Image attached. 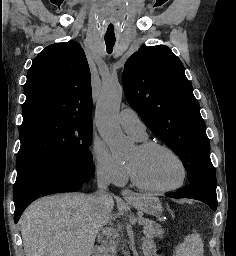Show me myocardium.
Returning <instances> with one entry per match:
<instances>
[{
  "label": "myocardium",
  "mask_w": 236,
  "mask_h": 256,
  "mask_svg": "<svg viewBox=\"0 0 236 256\" xmlns=\"http://www.w3.org/2000/svg\"><path fill=\"white\" fill-rule=\"evenodd\" d=\"M137 149L142 154H150L157 150L166 151V152L170 153L171 155H173L178 160V162L180 163L181 168H182V176H181L179 182H177L176 184L168 186V187H153V186H150L147 183H145L139 177L137 171L131 165L127 164L131 181L137 188H139L140 190L145 191L147 193L161 194V193H167V192L174 191V190L180 188L181 186H183V184L185 183V181L187 179L188 169H187V165H186L184 159L181 157V155L177 151H175L174 149H172L171 147H169L165 144L152 142V141L145 142V143L138 145Z\"/></svg>",
  "instance_id": "f54148a6"
}]
</instances>
